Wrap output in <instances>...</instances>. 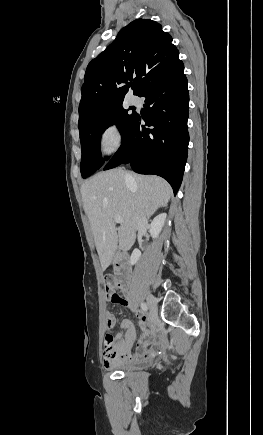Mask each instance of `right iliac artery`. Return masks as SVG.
I'll use <instances>...</instances> for the list:
<instances>
[{
	"mask_svg": "<svg viewBox=\"0 0 263 435\" xmlns=\"http://www.w3.org/2000/svg\"><path fill=\"white\" fill-rule=\"evenodd\" d=\"M141 309L146 312L148 310L147 304L146 303H141Z\"/></svg>",
	"mask_w": 263,
	"mask_h": 435,
	"instance_id": "obj_1",
	"label": "right iliac artery"
}]
</instances>
